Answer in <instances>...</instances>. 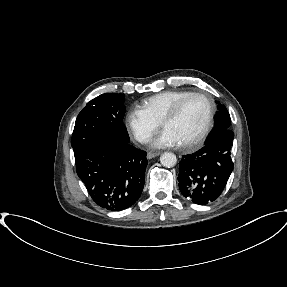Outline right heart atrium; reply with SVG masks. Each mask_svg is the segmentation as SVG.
Listing matches in <instances>:
<instances>
[{"mask_svg":"<svg viewBox=\"0 0 287 287\" xmlns=\"http://www.w3.org/2000/svg\"><path fill=\"white\" fill-rule=\"evenodd\" d=\"M128 132L140 143L148 142L159 127V123L139 108L129 110L125 117Z\"/></svg>","mask_w":287,"mask_h":287,"instance_id":"d8ad5b80","label":"right heart atrium"}]
</instances>
